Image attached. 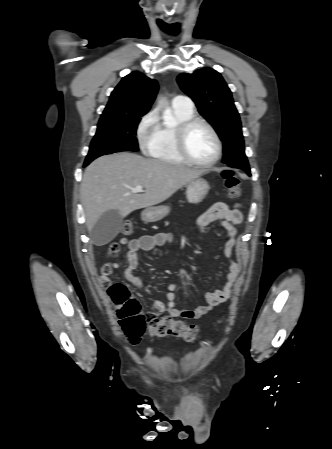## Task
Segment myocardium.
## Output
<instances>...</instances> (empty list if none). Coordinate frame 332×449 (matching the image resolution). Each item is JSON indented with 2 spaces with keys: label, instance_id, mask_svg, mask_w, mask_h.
<instances>
[{
  "label": "myocardium",
  "instance_id": "myocardium-1",
  "mask_svg": "<svg viewBox=\"0 0 332 449\" xmlns=\"http://www.w3.org/2000/svg\"><path fill=\"white\" fill-rule=\"evenodd\" d=\"M203 125L205 126L211 133V135L214 138L215 144H216V153L208 162H200L195 160L191 157V155L188 152L187 145H186V138L188 131L195 125ZM175 146L178 154L180 157L187 163L201 167V168H209L215 165L222 155V142L220 139V136L216 129L206 120L202 118L192 117L186 121L181 122L175 130Z\"/></svg>",
  "mask_w": 332,
  "mask_h": 449
}]
</instances>
